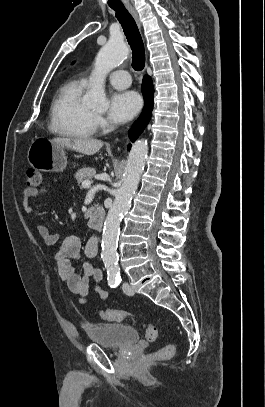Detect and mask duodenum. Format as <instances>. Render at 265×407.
<instances>
[{"instance_id": "1", "label": "duodenum", "mask_w": 265, "mask_h": 407, "mask_svg": "<svg viewBox=\"0 0 265 407\" xmlns=\"http://www.w3.org/2000/svg\"><path fill=\"white\" fill-rule=\"evenodd\" d=\"M105 212L102 208H97L88 216V225L96 230H101L104 225Z\"/></svg>"}]
</instances>
